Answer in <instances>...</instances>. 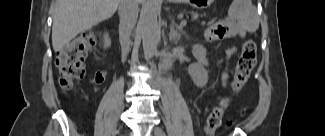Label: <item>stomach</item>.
<instances>
[{"label":"stomach","instance_id":"obj_1","mask_svg":"<svg viewBox=\"0 0 325 136\" xmlns=\"http://www.w3.org/2000/svg\"><path fill=\"white\" fill-rule=\"evenodd\" d=\"M171 1L176 3H187L192 7L201 8V9L208 7L213 2V0H171Z\"/></svg>","mask_w":325,"mask_h":136}]
</instances>
